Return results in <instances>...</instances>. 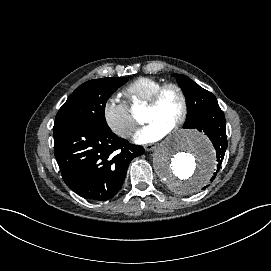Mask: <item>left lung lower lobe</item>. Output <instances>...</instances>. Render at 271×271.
Returning <instances> with one entry per match:
<instances>
[{"instance_id":"left-lung-lower-lobe-1","label":"left lung lower lobe","mask_w":271,"mask_h":271,"mask_svg":"<svg viewBox=\"0 0 271 271\" xmlns=\"http://www.w3.org/2000/svg\"><path fill=\"white\" fill-rule=\"evenodd\" d=\"M196 129L203 131L210 138L216 150L217 171L210 179L213 181L227 149L226 120L223 111L220 108L214 109L197 125Z\"/></svg>"}]
</instances>
